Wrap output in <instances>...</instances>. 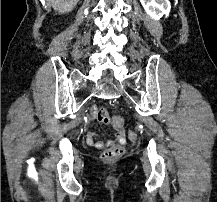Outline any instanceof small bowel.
Here are the masks:
<instances>
[{
    "mask_svg": "<svg viewBox=\"0 0 217 202\" xmlns=\"http://www.w3.org/2000/svg\"><path fill=\"white\" fill-rule=\"evenodd\" d=\"M99 112V111H98ZM98 112H97V109L96 107H94L91 111V117L92 118H96L98 119ZM113 116V115H111ZM102 123L104 121H101ZM113 126H114V129H115V132H116V139L119 143H124L125 141V133H124V129H123V126L121 124V120L120 119H114L113 120ZM94 132L93 131H89L87 132L86 134V142L90 145V146H93L97 149H101L103 148L104 146L106 145H111L112 144V141H107V142H102V141H95L94 140Z\"/></svg>",
    "mask_w": 217,
    "mask_h": 202,
    "instance_id": "c3829d8e",
    "label": "small bowel"
}]
</instances>
